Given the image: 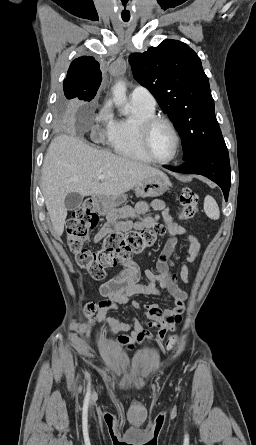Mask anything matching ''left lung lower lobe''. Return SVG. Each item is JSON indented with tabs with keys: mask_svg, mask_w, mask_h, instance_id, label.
Masks as SVG:
<instances>
[{
	"mask_svg": "<svg viewBox=\"0 0 256 445\" xmlns=\"http://www.w3.org/2000/svg\"><path fill=\"white\" fill-rule=\"evenodd\" d=\"M175 172L203 175L217 183L225 200L228 199L231 171L227 148L212 149L201 152L187 160L176 169L168 168Z\"/></svg>",
	"mask_w": 256,
	"mask_h": 445,
	"instance_id": "1",
	"label": "left lung lower lobe"
}]
</instances>
